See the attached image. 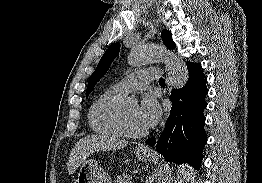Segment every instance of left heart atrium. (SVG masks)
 Listing matches in <instances>:
<instances>
[{
  "label": "left heart atrium",
  "mask_w": 262,
  "mask_h": 183,
  "mask_svg": "<svg viewBox=\"0 0 262 183\" xmlns=\"http://www.w3.org/2000/svg\"><path fill=\"white\" fill-rule=\"evenodd\" d=\"M161 108L157 100L145 94L138 107V120L145 129L153 128L160 120Z\"/></svg>",
  "instance_id": "39dd6f15"
}]
</instances>
